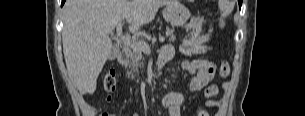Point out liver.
Listing matches in <instances>:
<instances>
[{"label":"liver","instance_id":"obj_1","mask_svg":"<svg viewBox=\"0 0 305 116\" xmlns=\"http://www.w3.org/2000/svg\"><path fill=\"white\" fill-rule=\"evenodd\" d=\"M173 0H67L62 31L63 53L70 78L92 94L112 52L108 34L126 20L129 31L154 20L158 9Z\"/></svg>","mask_w":305,"mask_h":116}]
</instances>
